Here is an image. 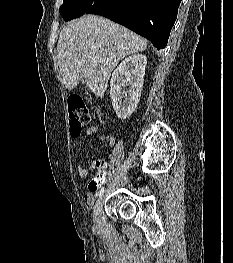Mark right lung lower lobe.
<instances>
[{
	"mask_svg": "<svg viewBox=\"0 0 233 263\" xmlns=\"http://www.w3.org/2000/svg\"><path fill=\"white\" fill-rule=\"evenodd\" d=\"M181 0H122L118 6L94 14L107 17L149 39L158 49L166 46Z\"/></svg>",
	"mask_w": 233,
	"mask_h": 263,
	"instance_id": "98d812e1",
	"label": "right lung lower lobe"
}]
</instances>
